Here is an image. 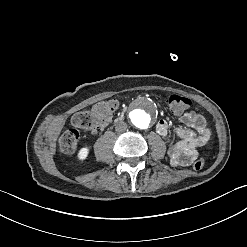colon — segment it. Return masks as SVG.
Wrapping results in <instances>:
<instances>
[{
	"mask_svg": "<svg viewBox=\"0 0 247 247\" xmlns=\"http://www.w3.org/2000/svg\"><path fill=\"white\" fill-rule=\"evenodd\" d=\"M167 105L175 113H180L189 106V101L181 96L170 95ZM116 107V98L108 96L106 100L99 102L97 107L89 108V115L77 113L73 117V122L77 126L90 127L91 125L103 124L108 120V116L113 114ZM79 133L76 129H69L62 134L59 139L58 149L62 154L68 155L74 153L77 147ZM205 158L201 156L196 159L192 167L194 170H201L204 167Z\"/></svg>",
	"mask_w": 247,
	"mask_h": 247,
	"instance_id": "5ec220e1",
	"label": "colon"
}]
</instances>
